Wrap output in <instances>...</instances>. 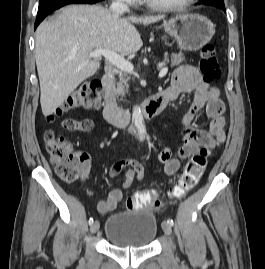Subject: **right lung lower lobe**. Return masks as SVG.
<instances>
[{"instance_id": "98d812e1", "label": "right lung lower lobe", "mask_w": 265, "mask_h": 269, "mask_svg": "<svg viewBox=\"0 0 265 269\" xmlns=\"http://www.w3.org/2000/svg\"><path fill=\"white\" fill-rule=\"evenodd\" d=\"M103 0H40L35 29L51 12L67 4H94Z\"/></svg>"}]
</instances>
